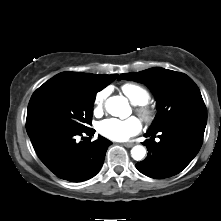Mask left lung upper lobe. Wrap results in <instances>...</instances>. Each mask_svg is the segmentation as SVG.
<instances>
[{
    "label": "left lung upper lobe",
    "mask_w": 221,
    "mask_h": 221,
    "mask_svg": "<svg viewBox=\"0 0 221 221\" xmlns=\"http://www.w3.org/2000/svg\"><path fill=\"white\" fill-rule=\"evenodd\" d=\"M121 79L144 83L154 93L158 113L149 131H157L182 117L207 116L200 90L186 74L155 67L121 74Z\"/></svg>",
    "instance_id": "left-lung-upper-lobe-1"
}]
</instances>
